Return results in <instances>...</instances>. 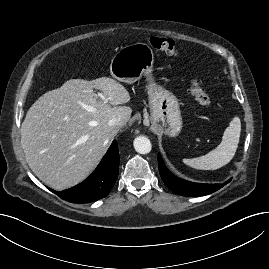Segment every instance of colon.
Returning a JSON list of instances; mask_svg holds the SVG:
<instances>
[{"label":"colon","instance_id":"obj_1","mask_svg":"<svg viewBox=\"0 0 269 269\" xmlns=\"http://www.w3.org/2000/svg\"><path fill=\"white\" fill-rule=\"evenodd\" d=\"M149 43L154 50L165 53L169 56H176L178 54L177 45L172 39L164 37H151ZM189 88L191 94L200 105L204 107L211 105V99L202 87L199 80L192 79L190 81Z\"/></svg>","mask_w":269,"mask_h":269}]
</instances>
